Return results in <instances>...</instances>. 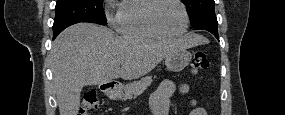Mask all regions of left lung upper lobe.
I'll return each mask as SVG.
<instances>
[{"label":"left lung upper lobe","instance_id":"obj_1","mask_svg":"<svg viewBox=\"0 0 285 115\" xmlns=\"http://www.w3.org/2000/svg\"><path fill=\"white\" fill-rule=\"evenodd\" d=\"M187 7L191 26L195 28L202 21L216 17L214 0H181Z\"/></svg>","mask_w":285,"mask_h":115}]
</instances>
